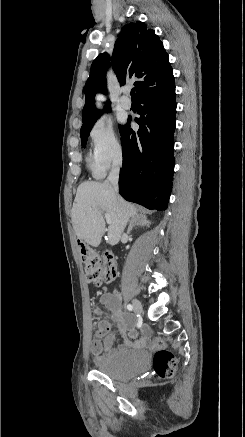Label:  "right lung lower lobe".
<instances>
[{"mask_svg": "<svg viewBox=\"0 0 245 437\" xmlns=\"http://www.w3.org/2000/svg\"><path fill=\"white\" fill-rule=\"evenodd\" d=\"M175 83L136 97L138 132L129 122L120 128L123 166L119 192L128 201L150 210H166L174 173L176 126Z\"/></svg>", "mask_w": 245, "mask_h": 437, "instance_id": "obj_1", "label": "right lung lower lobe"}]
</instances>
